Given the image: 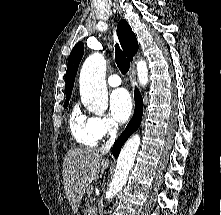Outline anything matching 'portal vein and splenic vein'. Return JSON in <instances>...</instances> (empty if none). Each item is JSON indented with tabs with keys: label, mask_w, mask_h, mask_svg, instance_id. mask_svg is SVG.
<instances>
[{
	"label": "portal vein and splenic vein",
	"mask_w": 221,
	"mask_h": 215,
	"mask_svg": "<svg viewBox=\"0 0 221 215\" xmlns=\"http://www.w3.org/2000/svg\"><path fill=\"white\" fill-rule=\"evenodd\" d=\"M93 210H94V209H93L92 207H90L88 211H89V212H92Z\"/></svg>",
	"instance_id": "portal-vein-and-splenic-vein-1"
}]
</instances>
